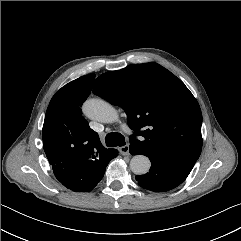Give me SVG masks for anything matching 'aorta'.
I'll return each mask as SVG.
<instances>
[{
	"label": "aorta",
	"mask_w": 241,
	"mask_h": 241,
	"mask_svg": "<svg viewBox=\"0 0 241 241\" xmlns=\"http://www.w3.org/2000/svg\"><path fill=\"white\" fill-rule=\"evenodd\" d=\"M83 112L89 119L102 123H112L119 120L118 111L102 99H88L83 104ZM150 167L151 162L145 155H135L130 161V169L136 175L146 174Z\"/></svg>",
	"instance_id": "762f6f07"
}]
</instances>
